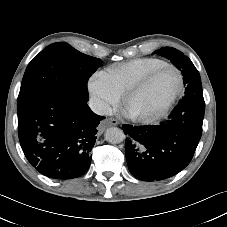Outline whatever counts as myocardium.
<instances>
[{"label": "myocardium", "instance_id": "myocardium-1", "mask_svg": "<svg viewBox=\"0 0 227 227\" xmlns=\"http://www.w3.org/2000/svg\"><path fill=\"white\" fill-rule=\"evenodd\" d=\"M166 69H173L177 72L179 77V86L176 91V93L173 95V97L170 99V101L165 105V107L159 111L156 114L153 115H135L130 114L131 118L135 121L144 122V123H152L155 122L161 118H163L173 107V105L176 103V101L179 99V97L182 95L184 90V76L181 72V70L172 64H166L162 67H159L153 71H151L149 74H147L144 78H142L139 82H137L135 85H133L131 88H129L123 95V105L126 107L128 101L135 96L136 94L140 93L142 90H144L151 82L152 80L162 71Z\"/></svg>", "mask_w": 227, "mask_h": 227}]
</instances>
